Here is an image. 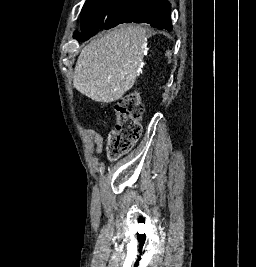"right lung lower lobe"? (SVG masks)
I'll return each instance as SVG.
<instances>
[{"label":"right lung lower lobe","mask_w":256,"mask_h":267,"mask_svg":"<svg viewBox=\"0 0 256 267\" xmlns=\"http://www.w3.org/2000/svg\"><path fill=\"white\" fill-rule=\"evenodd\" d=\"M171 5L167 0H141L110 28L122 23H144L161 30H172Z\"/></svg>","instance_id":"right-lung-lower-lobe-1"}]
</instances>
